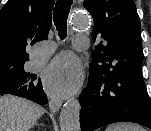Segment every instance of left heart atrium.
Wrapping results in <instances>:
<instances>
[{
	"label": "left heart atrium",
	"instance_id": "obj_1",
	"mask_svg": "<svg viewBox=\"0 0 151 131\" xmlns=\"http://www.w3.org/2000/svg\"><path fill=\"white\" fill-rule=\"evenodd\" d=\"M82 71L76 60L68 54L59 56L46 69L43 80L46 90L54 97H65L80 85Z\"/></svg>",
	"mask_w": 151,
	"mask_h": 131
}]
</instances>
